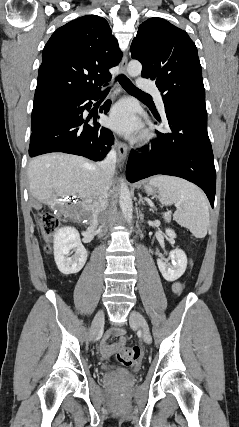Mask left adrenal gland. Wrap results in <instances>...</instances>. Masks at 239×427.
I'll return each mask as SVG.
<instances>
[{"instance_id": "obj_1", "label": "left adrenal gland", "mask_w": 239, "mask_h": 427, "mask_svg": "<svg viewBox=\"0 0 239 427\" xmlns=\"http://www.w3.org/2000/svg\"><path fill=\"white\" fill-rule=\"evenodd\" d=\"M138 203L139 204L142 203L143 205H145V200H144L142 194H139V201H138Z\"/></svg>"}]
</instances>
